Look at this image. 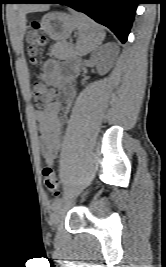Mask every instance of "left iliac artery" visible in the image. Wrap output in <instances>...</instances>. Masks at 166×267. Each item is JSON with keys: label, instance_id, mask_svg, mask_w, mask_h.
Masks as SVG:
<instances>
[{"label": "left iliac artery", "instance_id": "obj_1", "mask_svg": "<svg viewBox=\"0 0 166 267\" xmlns=\"http://www.w3.org/2000/svg\"><path fill=\"white\" fill-rule=\"evenodd\" d=\"M62 202H63L62 199H58V200H56V201L53 203V205H52L53 210L58 209V208L62 205Z\"/></svg>", "mask_w": 166, "mask_h": 267}]
</instances>
